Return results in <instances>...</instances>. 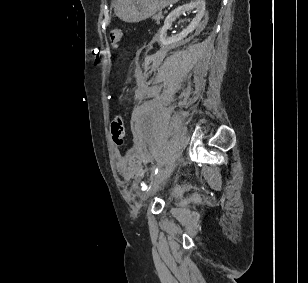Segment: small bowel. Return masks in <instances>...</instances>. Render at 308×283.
<instances>
[{"mask_svg":"<svg viewBox=\"0 0 308 283\" xmlns=\"http://www.w3.org/2000/svg\"><path fill=\"white\" fill-rule=\"evenodd\" d=\"M117 166H118V170H119L122 174H124V176H125L126 178H129V177L131 176V173L129 172V170H128V168H127V165H126V163H125L124 160H120V161L118 162Z\"/></svg>","mask_w":308,"mask_h":283,"instance_id":"1","label":"small bowel"}]
</instances>
